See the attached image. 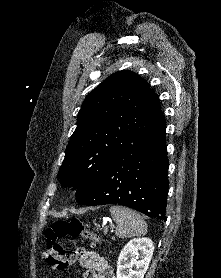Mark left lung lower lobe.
I'll return each instance as SVG.
<instances>
[{
    "label": "left lung lower lobe",
    "instance_id": "0a47b994",
    "mask_svg": "<svg viewBox=\"0 0 221 278\" xmlns=\"http://www.w3.org/2000/svg\"><path fill=\"white\" fill-rule=\"evenodd\" d=\"M162 116L125 147L79 203L118 204L166 221L168 158Z\"/></svg>",
    "mask_w": 221,
    "mask_h": 278
}]
</instances>
